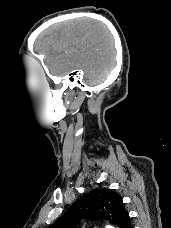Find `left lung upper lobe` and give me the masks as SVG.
<instances>
[{
	"label": "left lung upper lobe",
	"mask_w": 171,
	"mask_h": 228,
	"mask_svg": "<svg viewBox=\"0 0 171 228\" xmlns=\"http://www.w3.org/2000/svg\"><path fill=\"white\" fill-rule=\"evenodd\" d=\"M82 218L107 219L125 228L130 218L121 196L111 189H94L82 196L50 228H75Z\"/></svg>",
	"instance_id": "1"
}]
</instances>
